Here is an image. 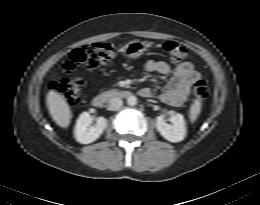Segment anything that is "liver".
Listing matches in <instances>:
<instances>
[{
  "mask_svg": "<svg viewBox=\"0 0 260 205\" xmlns=\"http://www.w3.org/2000/svg\"><path fill=\"white\" fill-rule=\"evenodd\" d=\"M46 101L49 113L55 123L62 128H67L70 125L72 113L63 95L49 91Z\"/></svg>",
  "mask_w": 260,
  "mask_h": 205,
  "instance_id": "1",
  "label": "liver"
}]
</instances>
